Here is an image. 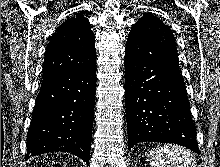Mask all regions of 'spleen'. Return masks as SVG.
Listing matches in <instances>:
<instances>
[{
    "label": "spleen",
    "instance_id": "3e777b00",
    "mask_svg": "<svg viewBox=\"0 0 220 167\" xmlns=\"http://www.w3.org/2000/svg\"><path fill=\"white\" fill-rule=\"evenodd\" d=\"M152 167H197L189 150L178 145H164L148 152Z\"/></svg>",
    "mask_w": 220,
    "mask_h": 167
}]
</instances>
